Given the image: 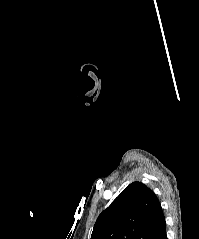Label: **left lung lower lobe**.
Listing matches in <instances>:
<instances>
[{
    "mask_svg": "<svg viewBox=\"0 0 199 239\" xmlns=\"http://www.w3.org/2000/svg\"><path fill=\"white\" fill-rule=\"evenodd\" d=\"M149 239H167L166 223L164 215H162L161 218L156 223Z\"/></svg>",
    "mask_w": 199,
    "mask_h": 239,
    "instance_id": "left-lung-lower-lobe-1",
    "label": "left lung lower lobe"
}]
</instances>
